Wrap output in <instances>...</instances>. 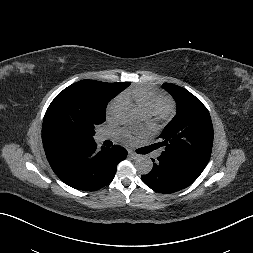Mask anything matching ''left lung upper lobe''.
I'll use <instances>...</instances> for the list:
<instances>
[{
	"instance_id": "left-lung-upper-lobe-1",
	"label": "left lung upper lobe",
	"mask_w": 253,
	"mask_h": 253,
	"mask_svg": "<svg viewBox=\"0 0 253 253\" xmlns=\"http://www.w3.org/2000/svg\"><path fill=\"white\" fill-rule=\"evenodd\" d=\"M178 105L177 115L159 136L162 155L185 161L204 169L210 159L213 145V125L202 102L186 89L163 84Z\"/></svg>"
}]
</instances>
